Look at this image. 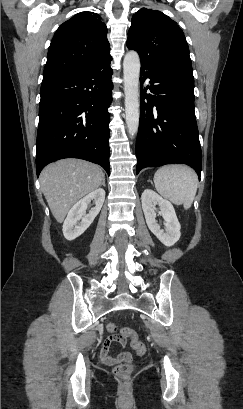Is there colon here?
I'll return each mask as SVG.
<instances>
[{
    "label": "colon",
    "mask_w": 243,
    "mask_h": 409,
    "mask_svg": "<svg viewBox=\"0 0 243 409\" xmlns=\"http://www.w3.org/2000/svg\"><path fill=\"white\" fill-rule=\"evenodd\" d=\"M107 330L111 333H115L117 331L116 324L108 323ZM119 338L122 340L129 339L131 347L138 354H143L145 352V346L143 342L139 339L138 335L131 329L129 328L121 329ZM113 371L117 377L127 380L133 371V365L130 363L129 360H126L122 362L121 364L117 365Z\"/></svg>",
    "instance_id": "1"
}]
</instances>
